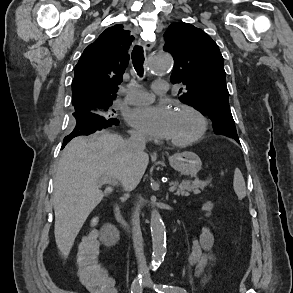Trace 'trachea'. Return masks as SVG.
<instances>
[{
    "instance_id": "3493384b",
    "label": "trachea",
    "mask_w": 293,
    "mask_h": 293,
    "mask_svg": "<svg viewBox=\"0 0 293 293\" xmlns=\"http://www.w3.org/2000/svg\"><path fill=\"white\" fill-rule=\"evenodd\" d=\"M132 62L137 74L142 77L144 73L143 63H144V54L143 48L141 46H135L132 51Z\"/></svg>"
}]
</instances>
